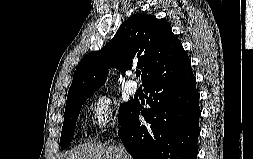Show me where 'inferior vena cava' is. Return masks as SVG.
Masks as SVG:
<instances>
[{"label": "inferior vena cava", "mask_w": 253, "mask_h": 159, "mask_svg": "<svg viewBox=\"0 0 253 159\" xmlns=\"http://www.w3.org/2000/svg\"><path fill=\"white\" fill-rule=\"evenodd\" d=\"M119 150L123 154L122 159H126L127 157L125 156V148L122 145H119Z\"/></svg>", "instance_id": "inferior-vena-cava-1"}]
</instances>
